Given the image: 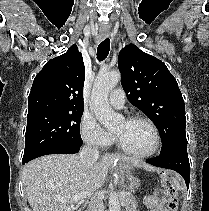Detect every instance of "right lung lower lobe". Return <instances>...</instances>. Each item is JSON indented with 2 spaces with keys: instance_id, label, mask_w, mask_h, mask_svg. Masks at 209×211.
<instances>
[{
  "instance_id": "obj_1",
  "label": "right lung lower lobe",
  "mask_w": 209,
  "mask_h": 211,
  "mask_svg": "<svg viewBox=\"0 0 209 211\" xmlns=\"http://www.w3.org/2000/svg\"><path fill=\"white\" fill-rule=\"evenodd\" d=\"M81 146H75V145H62V146H55V147H50L48 149H45L31 158L22 161L23 164L37 158L43 155H48V154H73L79 152Z\"/></svg>"
}]
</instances>
